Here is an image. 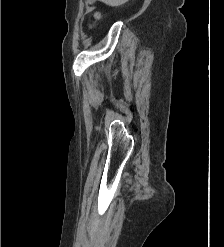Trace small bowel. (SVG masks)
I'll return each instance as SVG.
<instances>
[{"label": "small bowel", "mask_w": 224, "mask_h": 247, "mask_svg": "<svg viewBox=\"0 0 224 247\" xmlns=\"http://www.w3.org/2000/svg\"><path fill=\"white\" fill-rule=\"evenodd\" d=\"M89 2H93L94 0H88Z\"/></svg>", "instance_id": "1"}]
</instances>
